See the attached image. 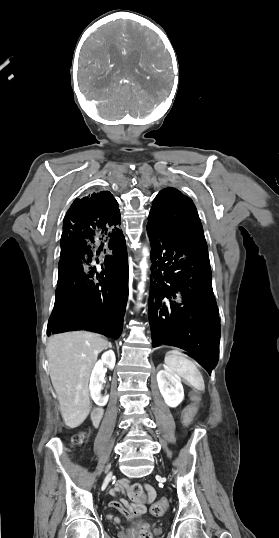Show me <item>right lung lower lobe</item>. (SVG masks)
Segmentation results:
<instances>
[{
	"label": "right lung lower lobe",
	"instance_id": "1",
	"mask_svg": "<svg viewBox=\"0 0 279 538\" xmlns=\"http://www.w3.org/2000/svg\"><path fill=\"white\" fill-rule=\"evenodd\" d=\"M118 203L109 191L76 199L61 236L47 335L97 330L118 338L128 298V260Z\"/></svg>",
	"mask_w": 279,
	"mask_h": 538
}]
</instances>
